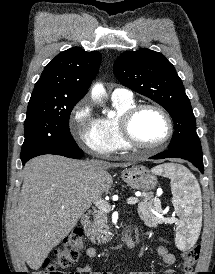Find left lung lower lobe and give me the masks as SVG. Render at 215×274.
Returning <instances> with one entry per match:
<instances>
[{
    "instance_id": "obj_1",
    "label": "left lung lower lobe",
    "mask_w": 215,
    "mask_h": 274,
    "mask_svg": "<svg viewBox=\"0 0 215 274\" xmlns=\"http://www.w3.org/2000/svg\"><path fill=\"white\" fill-rule=\"evenodd\" d=\"M164 158H181V159L188 160L195 167H197L201 171V173L204 172L202 154H196V153L168 149L162 153H159V154L151 157L150 159H164Z\"/></svg>"
}]
</instances>
